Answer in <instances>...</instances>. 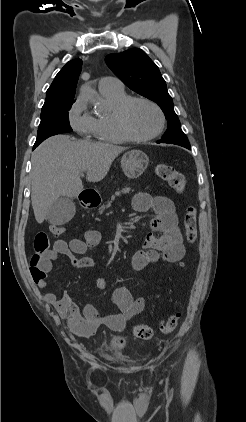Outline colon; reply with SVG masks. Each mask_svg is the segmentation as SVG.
<instances>
[{
    "label": "colon",
    "mask_w": 246,
    "mask_h": 422,
    "mask_svg": "<svg viewBox=\"0 0 246 422\" xmlns=\"http://www.w3.org/2000/svg\"><path fill=\"white\" fill-rule=\"evenodd\" d=\"M155 174L163 181L167 182L173 189L182 192L185 188V178L174 167L168 164H157ZM184 233L187 242L194 243L197 239V211L193 206L187 207L183 218ZM49 232L54 236L62 235L65 232L63 225L52 224ZM50 250V242L46 232H39L34 239V253L30 259V273L33 280L45 277L43 264L45 256ZM180 314H172L160 324V331L163 334L172 333L178 326ZM134 335L141 340L151 339L153 329L146 324L136 325Z\"/></svg>",
    "instance_id": "5ec220e1"
}]
</instances>
